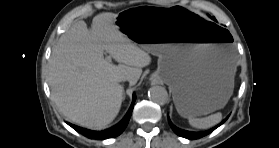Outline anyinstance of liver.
<instances>
[{"label":"liver","mask_w":279,"mask_h":148,"mask_svg":"<svg viewBox=\"0 0 279 148\" xmlns=\"http://www.w3.org/2000/svg\"><path fill=\"white\" fill-rule=\"evenodd\" d=\"M118 15L102 13L72 25L59 38L49 61L51 96L66 119L100 129L111 123L121 108L123 87L119 77L135 85L151 57L116 26ZM104 50L119 65L104 59Z\"/></svg>","instance_id":"liver-1"}]
</instances>
